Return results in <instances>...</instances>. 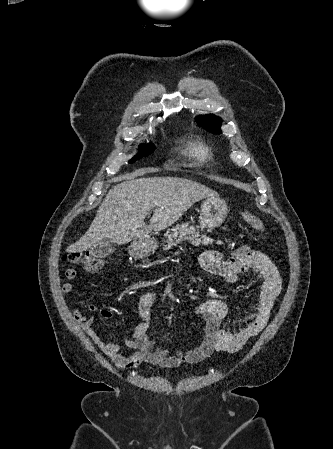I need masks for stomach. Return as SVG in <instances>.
<instances>
[{
	"label": "stomach",
	"mask_w": 333,
	"mask_h": 449,
	"mask_svg": "<svg viewBox=\"0 0 333 449\" xmlns=\"http://www.w3.org/2000/svg\"><path fill=\"white\" fill-rule=\"evenodd\" d=\"M229 213V207L227 203L219 198H206L202 203L200 212V227L206 228L211 231L214 228L221 226ZM157 248V242L154 238L138 239L135 240L130 248L129 252L136 258H143L149 256Z\"/></svg>",
	"instance_id": "obj_1"
}]
</instances>
